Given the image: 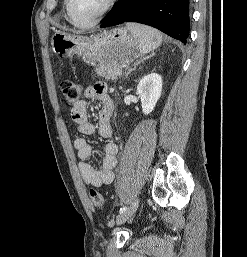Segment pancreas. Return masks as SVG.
<instances>
[{"label":"pancreas","instance_id":"pancreas-1","mask_svg":"<svg viewBox=\"0 0 247 257\" xmlns=\"http://www.w3.org/2000/svg\"><path fill=\"white\" fill-rule=\"evenodd\" d=\"M122 69V66L117 63H105L96 69V73L108 80H116L122 75Z\"/></svg>","mask_w":247,"mask_h":257}]
</instances>
